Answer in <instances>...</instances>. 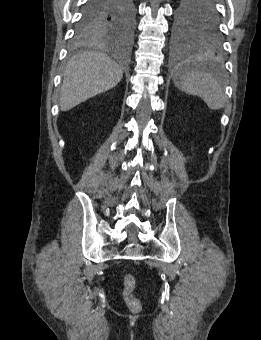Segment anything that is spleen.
I'll return each instance as SVG.
<instances>
[{
  "label": "spleen",
  "instance_id": "spleen-1",
  "mask_svg": "<svg viewBox=\"0 0 261 340\" xmlns=\"http://www.w3.org/2000/svg\"><path fill=\"white\" fill-rule=\"evenodd\" d=\"M174 84L189 95L201 97L211 110L225 107L226 95L218 81L195 62L179 66L174 75Z\"/></svg>",
  "mask_w": 261,
  "mask_h": 340
}]
</instances>
